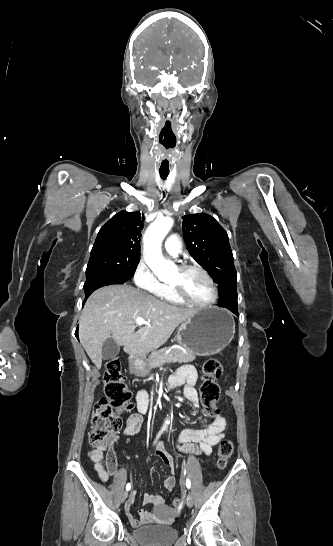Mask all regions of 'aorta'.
I'll return each mask as SVG.
<instances>
[{
	"label": "aorta",
	"instance_id": "aorta-1",
	"mask_svg": "<svg viewBox=\"0 0 333 546\" xmlns=\"http://www.w3.org/2000/svg\"><path fill=\"white\" fill-rule=\"evenodd\" d=\"M172 226V218H157L144 235L145 261L160 280L172 277L177 271L175 263L165 260L161 251V242Z\"/></svg>",
	"mask_w": 333,
	"mask_h": 546
}]
</instances>
